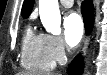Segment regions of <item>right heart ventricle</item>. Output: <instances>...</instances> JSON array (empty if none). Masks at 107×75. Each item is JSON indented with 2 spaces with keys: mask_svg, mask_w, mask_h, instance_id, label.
Instances as JSON below:
<instances>
[{
  "mask_svg": "<svg viewBox=\"0 0 107 75\" xmlns=\"http://www.w3.org/2000/svg\"><path fill=\"white\" fill-rule=\"evenodd\" d=\"M21 65L34 72H48L55 65L48 51L45 35L36 33L31 25L26 27L22 37Z\"/></svg>",
  "mask_w": 107,
  "mask_h": 75,
  "instance_id": "1",
  "label": "right heart ventricle"
}]
</instances>
